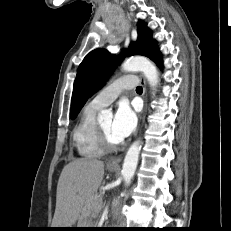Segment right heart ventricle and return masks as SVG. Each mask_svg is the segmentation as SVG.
I'll return each mask as SVG.
<instances>
[{
  "instance_id": "right-heart-ventricle-1",
  "label": "right heart ventricle",
  "mask_w": 231,
  "mask_h": 231,
  "mask_svg": "<svg viewBox=\"0 0 231 231\" xmlns=\"http://www.w3.org/2000/svg\"><path fill=\"white\" fill-rule=\"evenodd\" d=\"M98 111V108L87 105L73 130V144L78 154L86 159L99 158L104 154L97 139Z\"/></svg>"
}]
</instances>
